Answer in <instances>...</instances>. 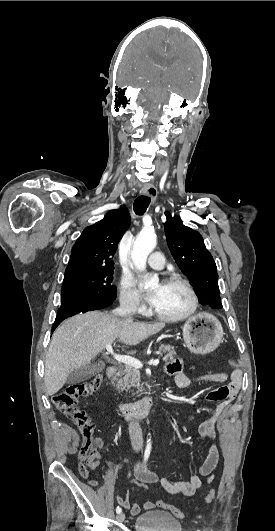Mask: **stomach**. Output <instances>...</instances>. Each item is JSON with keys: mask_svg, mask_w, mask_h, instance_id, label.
<instances>
[{"mask_svg": "<svg viewBox=\"0 0 275 531\" xmlns=\"http://www.w3.org/2000/svg\"><path fill=\"white\" fill-rule=\"evenodd\" d=\"M223 327L213 315L198 313L189 317L183 327L185 345L192 353L206 355L219 347L223 339Z\"/></svg>", "mask_w": 275, "mask_h": 531, "instance_id": "1", "label": "stomach"}]
</instances>
